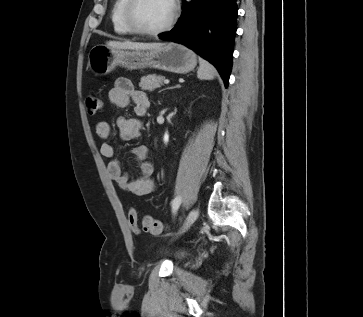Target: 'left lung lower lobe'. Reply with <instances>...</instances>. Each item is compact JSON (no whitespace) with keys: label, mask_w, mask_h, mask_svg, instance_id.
Instances as JSON below:
<instances>
[{"label":"left lung lower lobe","mask_w":363,"mask_h":317,"mask_svg":"<svg viewBox=\"0 0 363 317\" xmlns=\"http://www.w3.org/2000/svg\"><path fill=\"white\" fill-rule=\"evenodd\" d=\"M183 1L178 23L159 38L184 44L208 60L217 68L227 87L236 33V0Z\"/></svg>","instance_id":"1"}]
</instances>
